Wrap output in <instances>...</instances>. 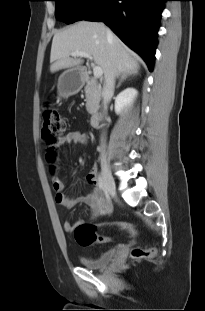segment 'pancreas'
I'll use <instances>...</instances> for the list:
<instances>
[{
  "mask_svg": "<svg viewBox=\"0 0 205 311\" xmlns=\"http://www.w3.org/2000/svg\"><path fill=\"white\" fill-rule=\"evenodd\" d=\"M86 110L89 114H95L99 109L101 100V87L95 79H89L85 86Z\"/></svg>",
  "mask_w": 205,
  "mask_h": 311,
  "instance_id": "1",
  "label": "pancreas"
}]
</instances>
